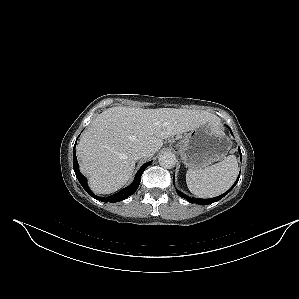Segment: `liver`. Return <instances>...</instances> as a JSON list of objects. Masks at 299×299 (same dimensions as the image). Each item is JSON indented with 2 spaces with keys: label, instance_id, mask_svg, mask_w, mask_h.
<instances>
[{
  "label": "liver",
  "instance_id": "6515ba94",
  "mask_svg": "<svg viewBox=\"0 0 299 299\" xmlns=\"http://www.w3.org/2000/svg\"><path fill=\"white\" fill-rule=\"evenodd\" d=\"M218 121L200 110L109 108L91 122L77 145L81 172L95 193H113L132 176L138 151L147 149L153 156L163 139Z\"/></svg>",
  "mask_w": 299,
  "mask_h": 299
}]
</instances>
